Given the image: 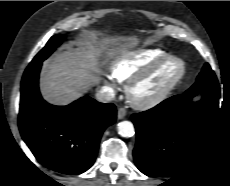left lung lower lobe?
I'll list each match as a JSON object with an SVG mask.
<instances>
[{
    "instance_id": "left-lung-lower-lobe-1",
    "label": "left lung lower lobe",
    "mask_w": 230,
    "mask_h": 186,
    "mask_svg": "<svg viewBox=\"0 0 230 186\" xmlns=\"http://www.w3.org/2000/svg\"><path fill=\"white\" fill-rule=\"evenodd\" d=\"M200 94L201 101L192 103ZM218 88L186 91L132 115L137 142L134 160L147 176H172L206 142L218 115Z\"/></svg>"
}]
</instances>
